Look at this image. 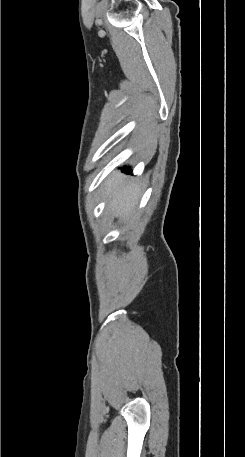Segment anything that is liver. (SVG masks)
I'll use <instances>...</instances> for the list:
<instances>
[{"instance_id": "1", "label": "liver", "mask_w": 245, "mask_h": 457, "mask_svg": "<svg viewBox=\"0 0 245 457\" xmlns=\"http://www.w3.org/2000/svg\"><path fill=\"white\" fill-rule=\"evenodd\" d=\"M104 188L109 198L108 208L114 216H122L123 220H128L138 204L139 184L128 182L122 172L114 170L104 182Z\"/></svg>"}]
</instances>
